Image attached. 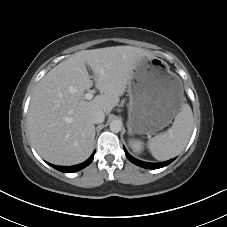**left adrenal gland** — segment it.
Listing matches in <instances>:
<instances>
[{
    "instance_id": "left-adrenal-gland-1",
    "label": "left adrenal gland",
    "mask_w": 227,
    "mask_h": 227,
    "mask_svg": "<svg viewBox=\"0 0 227 227\" xmlns=\"http://www.w3.org/2000/svg\"><path fill=\"white\" fill-rule=\"evenodd\" d=\"M128 133L131 134V131L129 130Z\"/></svg>"
}]
</instances>
